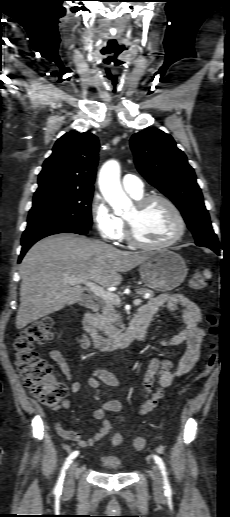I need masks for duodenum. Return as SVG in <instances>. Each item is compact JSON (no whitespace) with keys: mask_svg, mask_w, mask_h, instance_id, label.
I'll return each instance as SVG.
<instances>
[{"mask_svg":"<svg viewBox=\"0 0 230 517\" xmlns=\"http://www.w3.org/2000/svg\"><path fill=\"white\" fill-rule=\"evenodd\" d=\"M98 311L99 305L97 303L90 305L83 317V327L91 337L93 345L99 351L126 348L136 340H143L154 315L151 311L140 308L125 330L115 336L106 337L100 333L95 325V316Z\"/></svg>","mask_w":230,"mask_h":517,"instance_id":"1","label":"duodenum"}]
</instances>
